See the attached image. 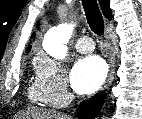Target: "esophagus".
I'll list each match as a JSON object with an SVG mask.
<instances>
[{"label":"esophagus","instance_id":"1","mask_svg":"<svg viewBox=\"0 0 142 119\" xmlns=\"http://www.w3.org/2000/svg\"><path fill=\"white\" fill-rule=\"evenodd\" d=\"M106 41L108 42V46H109V64H110V70H109V74L108 77L104 83V90H107L111 84L112 81L114 79V74H115V67H116V59H115V53L113 50V46L110 42V36H109V32L108 30H106Z\"/></svg>","mask_w":142,"mask_h":119}]
</instances>
